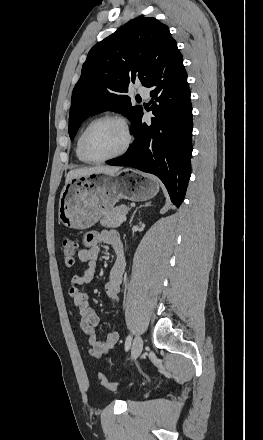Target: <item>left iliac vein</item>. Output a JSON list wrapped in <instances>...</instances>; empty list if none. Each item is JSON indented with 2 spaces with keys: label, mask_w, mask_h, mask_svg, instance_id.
Wrapping results in <instances>:
<instances>
[{
  "label": "left iliac vein",
  "mask_w": 263,
  "mask_h": 440,
  "mask_svg": "<svg viewBox=\"0 0 263 440\" xmlns=\"http://www.w3.org/2000/svg\"><path fill=\"white\" fill-rule=\"evenodd\" d=\"M143 349V340L140 335H137L133 341L132 345V351H131V358L132 360H135L139 357Z\"/></svg>",
  "instance_id": "obj_1"
}]
</instances>
